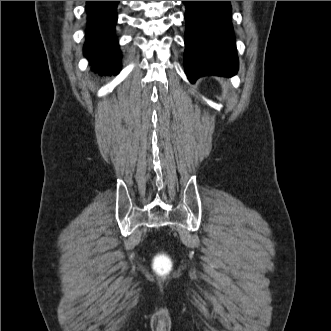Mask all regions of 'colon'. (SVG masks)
I'll return each mask as SVG.
<instances>
[{
    "label": "colon",
    "mask_w": 331,
    "mask_h": 331,
    "mask_svg": "<svg viewBox=\"0 0 331 331\" xmlns=\"http://www.w3.org/2000/svg\"><path fill=\"white\" fill-rule=\"evenodd\" d=\"M171 266V260L165 255H159L154 262L155 270L160 275L169 273Z\"/></svg>",
    "instance_id": "1"
}]
</instances>
